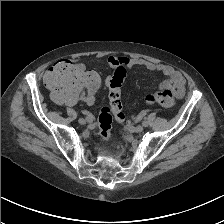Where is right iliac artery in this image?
Instances as JSON below:
<instances>
[{
  "instance_id": "1",
  "label": "right iliac artery",
  "mask_w": 224,
  "mask_h": 224,
  "mask_svg": "<svg viewBox=\"0 0 224 224\" xmlns=\"http://www.w3.org/2000/svg\"><path fill=\"white\" fill-rule=\"evenodd\" d=\"M93 119H94V118H93L92 116H90V115L86 117V120H87V122H89V123L93 122Z\"/></svg>"
}]
</instances>
